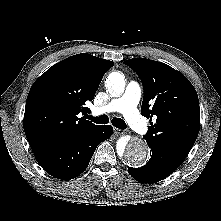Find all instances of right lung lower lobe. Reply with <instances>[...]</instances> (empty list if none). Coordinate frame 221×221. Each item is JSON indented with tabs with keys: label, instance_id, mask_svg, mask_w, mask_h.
Returning <instances> with one entry per match:
<instances>
[{
	"label": "right lung lower lobe",
	"instance_id": "1",
	"mask_svg": "<svg viewBox=\"0 0 221 221\" xmlns=\"http://www.w3.org/2000/svg\"><path fill=\"white\" fill-rule=\"evenodd\" d=\"M112 133L111 125H100L79 137L34 155L41 167L53 177L73 179L87 168L96 147Z\"/></svg>",
	"mask_w": 221,
	"mask_h": 221
}]
</instances>
